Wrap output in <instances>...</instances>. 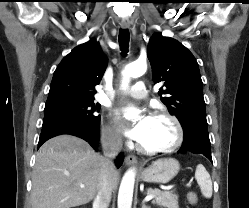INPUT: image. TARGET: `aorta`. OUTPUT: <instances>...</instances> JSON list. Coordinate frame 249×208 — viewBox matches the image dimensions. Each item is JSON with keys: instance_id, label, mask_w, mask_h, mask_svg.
Instances as JSON below:
<instances>
[{"instance_id": "762f6f07", "label": "aorta", "mask_w": 249, "mask_h": 208, "mask_svg": "<svg viewBox=\"0 0 249 208\" xmlns=\"http://www.w3.org/2000/svg\"><path fill=\"white\" fill-rule=\"evenodd\" d=\"M147 70V64L144 61H135L127 65L122 72L123 81L122 88L126 89L130 82V78H137L142 76ZM139 111L135 109H129L127 117L135 119L138 116ZM135 169H129L123 176L119 192H118V208H131L133 199V190L135 183Z\"/></svg>"}]
</instances>
